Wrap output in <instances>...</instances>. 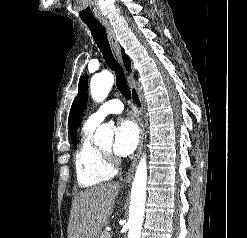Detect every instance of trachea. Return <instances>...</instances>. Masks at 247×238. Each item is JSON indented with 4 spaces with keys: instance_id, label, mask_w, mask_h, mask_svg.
Here are the masks:
<instances>
[{
    "instance_id": "3493384b",
    "label": "trachea",
    "mask_w": 247,
    "mask_h": 238,
    "mask_svg": "<svg viewBox=\"0 0 247 238\" xmlns=\"http://www.w3.org/2000/svg\"><path fill=\"white\" fill-rule=\"evenodd\" d=\"M84 22L90 29L91 35L102 52L103 58L105 59L107 65L112 71L115 72L117 89L127 100H129L131 98V92L126 83L123 69L112 54L105 27L99 21Z\"/></svg>"
}]
</instances>
